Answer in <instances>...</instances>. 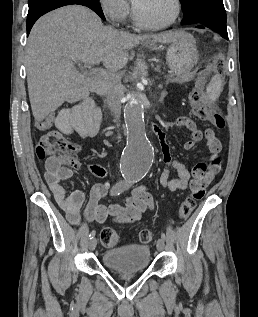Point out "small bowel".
Wrapping results in <instances>:
<instances>
[{
  "instance_id": "c3829d8e",
  "label": "small bowel",
  "mask_w": 258,
  "mask_h": 317,
  "mask_svg": "<svg viewBox=\"0 0 258 317\" xmlns=\"http://www.w3.org/2000/svg\"><path fill=\"white\" fill-rule=\"evenodd\" d=\"M100 124L101 112L98 105L91 97H84L73 107L62 109L57 114H50L37 127L40 130H46L54 125L64 134L75 133L81 138H91L98 134ZM175 125L191 133V139L184 144L186 150L193 149L197 143L205 140L210 154L209 161L208 163H198L190 173L183 163L171 157L164 133L155 127L154 131L161 141L164 162L160 183L171 192L184 191L188 188L192 190L204 188L210 184L221 169V143L212 129L208 128L203 133L195 122L186 116L178 117L175 120ZM45 166V179L49 189L59 207L65 212L67 220L73 225H79L82 219L99 224L108 221L133 223L138 221L144 212L154 208L153 196L144 186L135 188L122 204H103L101 200L109 192L107 182L93 185L89 199L85 204V194L82 191L73 190L67 194L62 185V181L72 177V171L61 158L49 157ZM87 167L99 178H107L109 175L108 170L102 165L90 163ZM172 170L177 172L178 178L169 179ZM83 207L84 215L82 218L80 212Z\"/></svg>"
}]
</instances>
